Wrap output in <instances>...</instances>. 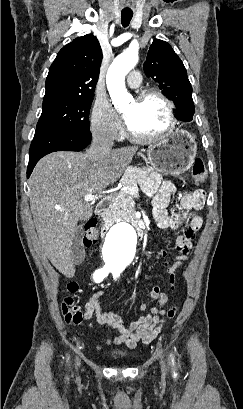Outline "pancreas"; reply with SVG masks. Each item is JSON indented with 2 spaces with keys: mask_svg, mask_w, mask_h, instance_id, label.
Returning <instances> with one entry per match:
<instances>
[{
  "mask_svg": "<svg viewBox=\"0 0 243 409\" xmlns=\"http://www.w3.org/2000/svg\"><path fill=\"white\" fill-rule=\"evenodd\" d=\"M150 172V168L129 167L121 179V184L123 187L140 186L144 189ZM114 198L116 201L102 214L104 220L115 222L135 217V202L130 194L119 191Z\"/></svg>",
  "mask_w": 243,
  "mask_h": 409,
  "instance_id": "cf45deb5",
  "label": "pancreas"
}]
</instances>
